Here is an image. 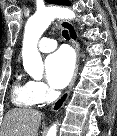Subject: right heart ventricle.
Instances as JSON below:
<instances>
[{
  "label": "right heart ventricle",
  "instance_id": "e07e8e85",
  "mask_svg": "<svg viewBox=\"0 0 117 136\" xmlns=\"http://www.w3.org/2000/svg\"><path fill=\"white\" fill-rule=\"evenodd\" d=\"M12 100L19 107H33L37 105L38 99L33 90L31 81L16 80L12 87Z\"/></svg>",
  "mask_w": 117,
  "mask_h": 136
}]
</instances>
